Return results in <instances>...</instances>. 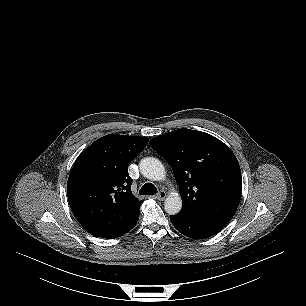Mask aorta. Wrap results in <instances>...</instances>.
I'll use <instances>...</instances> for the list:
<instances>
[{
    "label": "aorta",
    "instance_id": "obj_1",
    "mask_svg": "<svg viewBox=\"0 0 306 306\" xmlns=\"http://www.w3.org/2000/svg\"><path fill=\"white\" fill-rule=\"evenodd\" d=\"M141 174L150 180L161 181L165 178L166 172L160 160L153 157H146L139 163ZM182 208V199L177 192H171L165 202L164 209L169 215H175Z\"/></svg>",
    "mask_w": 306,
    "mask_h": 306
}]
</instances>
